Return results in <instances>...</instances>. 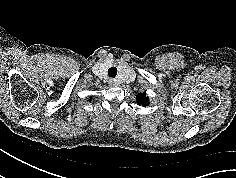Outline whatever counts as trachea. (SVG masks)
<instances>
[{"label":"trachea","instance_id":"obj_1","mask_svg":"<svg viewBox=\"0 0 236 178\" xmlns=\"http://www.w3.org/2000/svg\"><path fill=\"white\" fill-rule=\"evenodd\" d=\"M117 75V68L116 67H110L108 69V76L115 78V76Z\"/></svg>","mask_w":236,"mask_h":178}]
</instances>
